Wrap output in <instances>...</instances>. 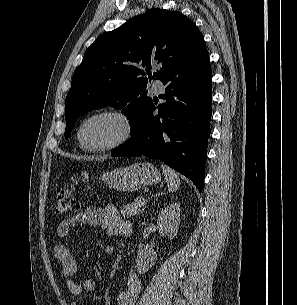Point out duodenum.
I'll return each instance as SVG.
<instances>
[{
    "label": "duodenum",
    "instance_id": "1",
    "mask_svg": "<svg viewBox=\"0 0 297 305\" xmlns=\"http://www.w3.org/2000/svg\"><path fill=\"white\" fill-rule=\"evenodd\" d=\"M131 232H132V229H130V228L125 230L124 236H129L131 234Z\"/></svg>",
    "mask_w": 297,
    "mask_h": 305
}]
</instances>
